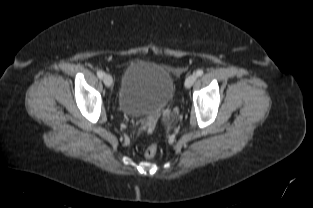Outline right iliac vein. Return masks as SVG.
Listing matches in <instances>:
<instances>
[{"instance_id": "63e3f726", "label": "right iliac vein", "mask_w": 313, "mask_h": 208, "mask_svg": "<svg viewBox=\"0 0 313 208\" xmlns=\"http://www.w3.org/2000/svg\"><path fill=\"white\" fill-rule=\"evenodd\" d=\"M103 82L107 87H111L112 83H113V79L111 77V75L109 74H104L103 76Z\"/></svg>"}]
</instances>
